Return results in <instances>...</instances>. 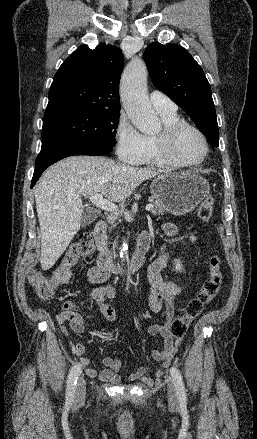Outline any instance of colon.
Masks as SVG:
<instances>
[{
  "label": "colon",
  "mask_w": 257,
  "mask_h": 439,
  "mask_svg": "<svg viewBox=\"0 0 257 439\" xmlns=\"http://www.w3.org/2000/svg\"><path fill=\"white\" fill-rule=\"evenodd\" d=\"M214 199L205 198L198 208V217L201 221H208L212 217ZM95 251L91 234L83 233L64 255L61 264L51 277H46L40 272H32L29 276L30 283L35 293L43 299L53 296L59 286L67 283L72 276V268L82 258L88 257ZM222 284L221 258L212 255L209 259V276L202 284L198 294L191 299L181 316L175 317L169 325V334L174 338L185 335L189 325L195 320L218 294Z\"/></svg>",
  "instance_id": "colon-1"
}]
</instances>
